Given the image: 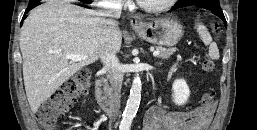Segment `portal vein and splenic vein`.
I'll use <instances>...</instances> for the list:
<instances>
[{"mask_svg":"<svg viewBox=\"0 0 257 130\" xmlns=\"http://www.w3.org/2000/svg\"><path fill=\"white\" fill-rule=\"evenodd\" d=\"M160 54L159 50L153 52V56H158ZM65 58L71 60L72 62L82 61L87 58L85 55H75V54H68L65 55Z\"/></svg>","mask_w":257,"mask_h":130,"instance_id":"18ae733b","label":"portal vein and splenic vein"}]
</instances>
